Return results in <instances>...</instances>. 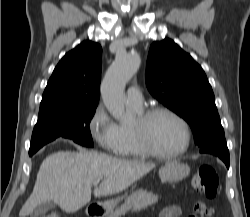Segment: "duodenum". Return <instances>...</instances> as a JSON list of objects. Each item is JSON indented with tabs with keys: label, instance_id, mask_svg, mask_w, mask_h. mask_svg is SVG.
I'll return each instance as SVG.
<instances>
[{
	"label": "duodenum",
	"instance_id": "obj_1",
	"mask_svg": "<svg viewBox=\"0 0 250 217\" xmlns=\"http://www.w3.org/2000/svg\"><path fill=\"white\" fill-rule=\"evenodd\" d=\"M103 212V208L98 204L93 203L87 207V215L89 217H101Z\"/></svg>",
	"mask_w": 250,
	"mask_h": 217
}]
</instances>
